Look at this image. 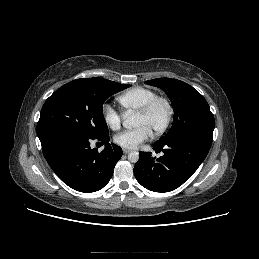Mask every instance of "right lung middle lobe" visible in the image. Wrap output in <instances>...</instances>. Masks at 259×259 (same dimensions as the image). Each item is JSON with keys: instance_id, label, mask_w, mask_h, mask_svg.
Listing matches in <instances>:
<instances>
[{"instance_id": "dd1d6c3e", "label": "right lung middle lobe", "mask_w": 259, "mask_h": 259, "mask_svg": "<svg viewBox=\"0 0 259 259\" xmlns=\"http://www.w3.org/2000/svg\"><path fill=\"white\" fill-rule=\"evenodd\" d=\"M129 86L103 78L77 79L63 85L42 107L37 124L39 139L62 131L92 138L108 135L103 103Z\"/></svg>"}]
</instances>
